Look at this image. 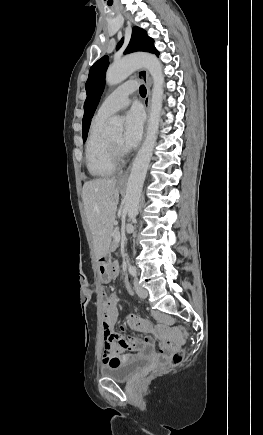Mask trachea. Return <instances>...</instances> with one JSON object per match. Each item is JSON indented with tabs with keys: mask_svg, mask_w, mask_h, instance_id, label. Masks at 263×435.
I'll list each match as a JSON object with an SVG mask.
<instances>
[{
	"mask_svg": "<svg viewBox=\"0 0 263 435\" xmlns=\"http://www.w3.org/2000/svg\"><path fill=\"white\" fill-rule=\"evenodd\" d=\"M146 92H147L146 87L144 85H141L139 88L140 95L144 97V96H146Z\"/></svg>",
	"mask_w": 263,
	"mask_h": 435,
	"instance_id": "obj_1",
	"label": "trachea"
}]
</instances>
